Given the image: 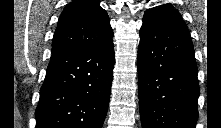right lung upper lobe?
Returning <instances> with one entry per match:
<instances>
[{
    "mask_svg": "<svg viewBox=\"0 0 221 128\" xmlns=\"http://www.w3.org/2000/svg\"><path fill=\"white\" fill-rule=\"evenodd\" d=\"M113 30L98 0H74L60 15L53 37L52 53L106 45Z\"/></svg>",
    "mask_w": 221,
    "mask_h": 128,
    "instance_id": "1",
    "label": "right lung upper lobe"
}]
</instances>
